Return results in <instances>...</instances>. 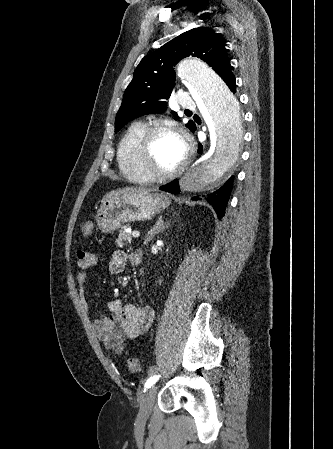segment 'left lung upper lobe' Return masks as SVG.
<instances>
[{"label": "left lung upper lobe", "mask_w": 333, "mask_h": 449, "mask_svg": "<svg viewBox=\"0 0 333 449\" xmlns=\"http://www.w3.org/2000/svg\"><path fill=\"white\" fill-rule=\"evenodd\" d=\"M190 55L205 61L222 79L231 71L225 41L212 29L200 27L179 35L145 56L137 66L116 115L115 132L129 120L167 109L165 100L175 86L173 66ZM172 114L178 118L175 112ZM187 127L196 129L192 121Z\"/></svg>", "instance_id": "obj_1"}]
</instances>
